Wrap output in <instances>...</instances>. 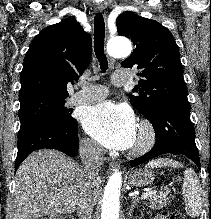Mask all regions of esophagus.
Wrapping results in <instances>:
<instances>
[{
	"mask_svg": "<svg viewBox=\"0 0 211 219\" xmlns=\"http://www.w3.org/2000/svg\"><path fill=\"white\" fill-rule=\"evenodd\" d=\"M105 7L102 4H98L95 6V10L98 12L104 11ZM119 167V164L116 161H112L109 163V169L110 170H115Z\"/></svg>",
	"mask_w": 211,
	"mask_h": 219,
	"instance_id": "esophagus-1",
	"label": "esophagus"
}]
</instances>
